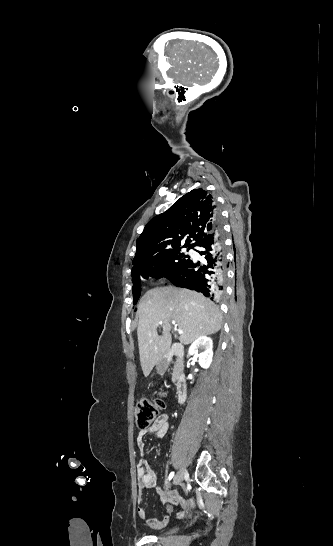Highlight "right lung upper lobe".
Listing matches in <instances>:
<instances>
[{
    "label": "right lung upper lobe",
    "instance_id": "right-lung-upper-lobe-1",
    "mask_svg": "<svg viewBox=\"0 0 333 546\" xmlns=\"http://www.w3.org/2000/svg\"><path fill=\"white\" fill-rule=\"evenodd\" d=\"M215 218V201L207 191L199 188L182 196L145 226L136 242L132 275L155 267L164 253L180 249L183 243L193 247L214 230Z\"/></svg>",
    "mask_w": 333,
    "mask_h": 546
}]
</instances>
